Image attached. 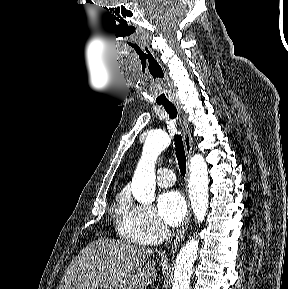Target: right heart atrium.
<instances>
[{
	"instance_id": "1",
	"label": "right heart atrium",
	"mask_w": 288,
	"mask_h": 289,
	"mask_svg": "<svg viewBox=\"0 0 288 289\" xmlns=\"http://www.w3.org/2000/svg\"><path fill=\"white\" fill-rule=\"evenodd\" d=\"M121 217V233L132 242L153 245L162 242L168 235V229L150 207L130 199L126 200Z\"/></svg>"
}]
</instances>
